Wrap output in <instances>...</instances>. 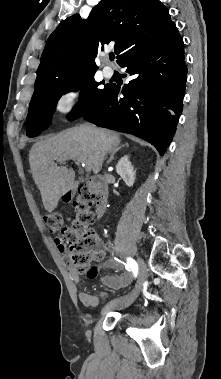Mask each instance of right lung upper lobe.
<instances>
[{
	"label": "right lung upper lobe",
	"mask_w": 221,
	"mask_h": 379,
	"mask_svg": "<svg viewBox=\"0 0 221 379\" xmlns=\"http://www.w3.org/2000/svg\"><path fill=\"white\" fill-rule=\"evenodd\" d=\"M173 23L159 0H101L87 20L70 16L49 36L34 93L58 80L96 72L95 56L111 42L119 63Z\"/></svg>",
	"instance_id": "1"
}]
</instances>
